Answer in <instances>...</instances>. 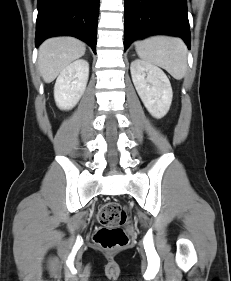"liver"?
Masks as SVG:
<instances>
[{"mask_svg": "<svg viewBox=\"0 0 231 281\" xmlns=\"http://www.w3.org/2000/svg\"><path fill=\"white\" fill-rule=\"evenodd\" d=\"M85 44L73 37H56L39 47L38 67L46 83L52 82L68 65L85 54Z\"/></svg>", "mask_w": 231, "mask_h": 281, "instance_id": "6515ba94", "label": "liver"}]
</instances>
